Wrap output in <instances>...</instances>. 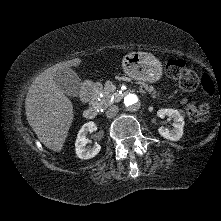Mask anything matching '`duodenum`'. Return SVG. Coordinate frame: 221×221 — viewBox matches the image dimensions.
Segmentation results:
<instances>
[{"instance_id":"410a0bca","label":"duodenum","mask_w":221,"mask_h":221,"mask_svg":"<svg viewBox=\"0 0 221 221\" xmlns=\"http://www.w3.org/2000/svg\"><path fill=\"white\" fill-rule=\"evenodd\" d=\"M102 86L99 83H90L83 87L81 97L89 102V106L85 109L83 115L86 119H93L98 114L97 98L101 92Z\"/></svg>"}]
</instances>
